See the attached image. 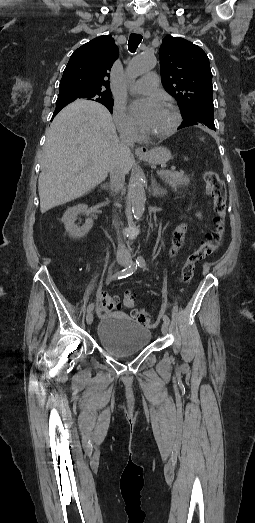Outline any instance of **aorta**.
Here are the masks:
<instances>
[{"instance_id": "1", "label": "aorta", "mask_w": 255, "mask_h": 523, "mask_svg": "<svg viewBox=\"0 0 255 523\" xmlns=\"http://www.w3.org/2000/svg\"><path fill=\"white\" fill-rule=\"evenodd\" d=\"M157 64V59L153 54L144 53L137 55L130 62L127 69V77L129 79H135L138 76L150 71ZM132 213L134 218L139 221L142 218L145 209V189L144 183L140 178L134 180L133 188L130 192Z\"/></svg>"}]
</instances>
